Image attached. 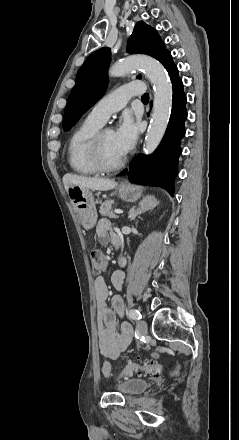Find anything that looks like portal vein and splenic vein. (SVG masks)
<instances>
[{
	"label": "portal vein and splenic vein",
	"mask_w": 239,
	"mask_h": 440,
	"mask_svg": "<svg viewBox=\"0 0 239 440\" xmlns=\"http://www.w3.org/2000/svg\"><path fill=\"white\" fill-rule=\"evenodd\" d=\"M115 211H116V213H115V212H113V213H112L113 215H115V214H116V215H120L121 213H123V212H124V211H123V210H121V209H116ZM120 212H121V213H120Z\"/></svg>",
	"instance_id": "18ae733b"
}]
</instances>
